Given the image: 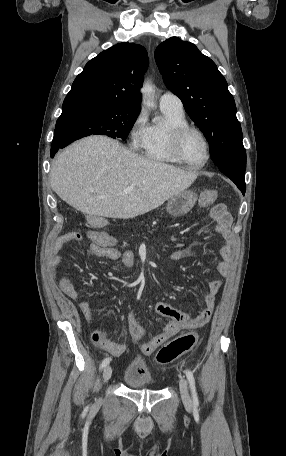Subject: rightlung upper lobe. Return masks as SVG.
<instances>
[{"label": "right lung upper lobe", "instance_id": "obj_1", "mask_svg": "<svg viewBox=\"0 0 286 456\" xmlns=\"http://www.w3.org/2000/svg\"><path fill=\"white\" fill-rule=\"evenodd\" d=\"M148 63L141 45L117 44L85 65L65 100L85 98L140 108V86Z\"/></svg>", "mask_w": 286, "mask_h": 456}]
</instances>
